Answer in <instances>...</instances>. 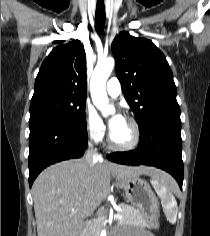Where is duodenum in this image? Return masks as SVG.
<instances>
[{"label": "duodenum", "mask_w": 210, "mask_h": 236, "mask_svg": "<svg viewBox=\"0 0 210 236\" xmlns=\"http://www.w3.org/2000/svg\"><path fill=\"white\" fill-rule=\"evenodd\" d=\"M77 236H84L83 231H81Z\"/></svg>", "instance_id": "1"}]
</instances>
